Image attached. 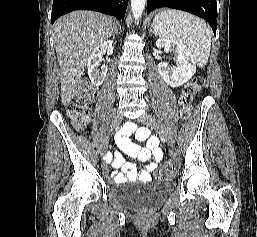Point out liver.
Instances as JSON below:
<instances>
[{"mask_svg": "<svg viewBox=\"0 0 257 237\" xmlns=\"http://www.w3.org/2000/svg\"><path fill=\"white\" fill-rule=\"evenodd\" d=\"M116 29L112 17L94 11H75L55 22V48L61 69V101L64 106L75 96L93 50L110 38Z\"/></svg>", "mask_w": 257, "mask_h": 237, "instance_id": "1", "label": "liver"}]
</instances>
